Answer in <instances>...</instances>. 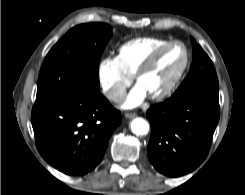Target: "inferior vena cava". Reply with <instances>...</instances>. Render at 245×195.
I'll use <instances>...</instances> for the list:
<instances>
[{"mask_svg":"<svg viewBox=\"0 0 245 195\" xmlns=\"http://www.w3.org/2000/svg\"><path fill=\"white\" fill-rule=\"evenodd\" d=\"M107 95L111 100L119 103L123 102L126 98L125 91H109Z\"/></svg>","mask_w":245,"mask_h":195,"instance_id":"602c4592","label":"inferior vena cava"}]
</instances>
